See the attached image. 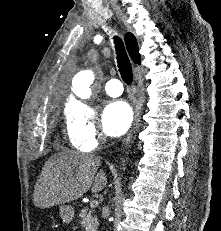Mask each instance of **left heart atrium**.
Returning a JSON list of instances; mask_svg holds the SVG:
<instances>
[{"label":"left heart atrium","instance_id":"39dd6f15","mask_svg":"<svg viewBox=\"0 0 221 231\" xmlns=\"http://www.w3.org/2000/svg\"><path fill=\"white\" fill-rule=\"evenodd\" d=\"M131 121V108L124 101L110 102L103 111L102 126L111 136L122 135L129 128Z\"/></svg>","mask_w":221,"mask_h":231}]
</instances>
